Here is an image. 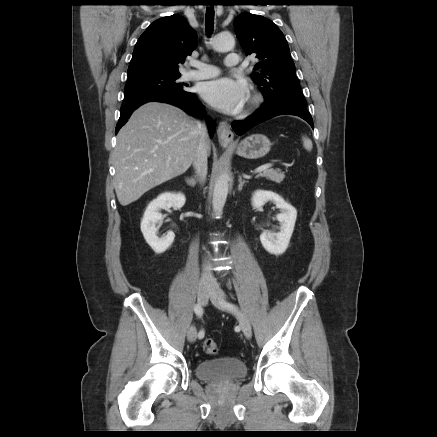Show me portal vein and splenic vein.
I'll return each instance as SVG.
<instances>
[{
	"label": "portal vein and splenic vein",
	"instance_id": "1",
	"mask_svg": "<svg viewBox=\"0 0 437 437\" xmlns=\"http://www.w3.org/2000/svg\"><path fill=\"white\" fill-rule=\"evenodd\" d=\"M271 166H272V164H270V163H268V164H264V165L258 167L254 172H255V173H261L262 171H264V170L270 168Z\"/></svg>",
	"mask_w": 437,
	"mask_h": 437
}]
</instances>
